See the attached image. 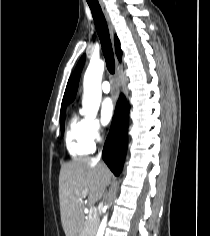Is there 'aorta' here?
I'll list each match as a JSON object with an SVG mask.
<instances>
[{
  "instance_id": "aorta-1",
  "label": "aorta",
  "mask_w": 210,
  "mask_h": 236,
  "mask_svg": "<svg viewBox=\"0 0 210 236\" xmlns=\"http://www.w3.org/2000/svg\"><path fill=\"white\" fill-rule=\"evenodd\" d=\"M104 72V61L92 59L84 75L82 113L88 118H95L100 106L102 91L101 81ZM107 223V215L104 216L97 236H103Z\"/></svg>"
}]
</instances>
